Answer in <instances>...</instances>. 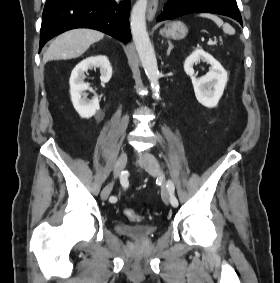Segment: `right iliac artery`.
Listing matches in <instances>:
<instances>
[{
    "label": "right iliac artery",
    "mask_w": 280,
    "mask_h": 283,
    "mask_svg": "<svg viewBox=\"0 0 280 283\" xmlns=\"http://www.w3.org/2000/svg\"><path fill=\"white\" fill-rule=\"evenodd\" d=\"M120 183L123 187L127 186V184H128V181H127V178H126L124 172H121V174H120ZM109 200H110L111 203H116L118 199H117L116 196H111Z\"/></svg>",
    "instance_id": "obj_1"
}]
</instances>
